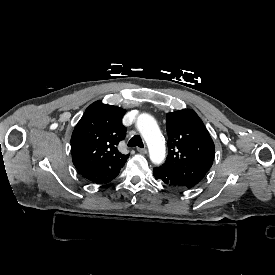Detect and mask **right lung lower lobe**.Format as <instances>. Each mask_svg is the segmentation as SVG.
Returning a JSON list of instances; mask_svg holds the SVG:
<instances>
[{
  "mask_svg": "<svg viewBox=\"0 0 275 275\" xmlns=\"http://www.w3.org/2000/svg\"><path fill=\"white\" fill-rule=\"evenodd\" d=\"M120 169L117 168H102L99 170L83 173L82 176L96 184L108 183L113 180Z\"/></svg>",
  "mask_w": 275,
  "mask_h": 275,
  "instance_id": "1",
  "label": "right lung lower lobe"
}]
</instances>
